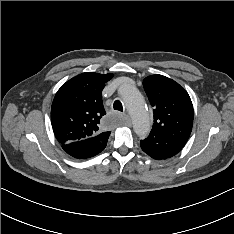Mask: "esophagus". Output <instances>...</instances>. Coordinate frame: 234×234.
<instances>
[{
	"instance_id": "1",
	"label": "esophagus",
	"mask_w": 234,
	"mask_h": 234,
	"mask_svg": "<svg viewBox=\"0 0 234 234\" xmlns=\"http://www.w3.org/2000/svg\"><path fill=\"white\" fill-rule=\"evenodd\" d=\"M123 118H124V121H125L126 125H130L131 124L130 117L127 114H124Z\"/></svg>"
}]
</instances>
